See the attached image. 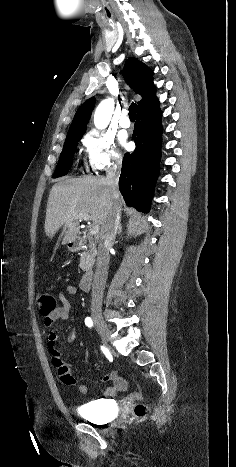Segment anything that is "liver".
Here are the masks:
<instances>
[{
  "mask_svg": "<svg viewBox=\"0 0 236 467\" xmlns=\"http://www.w3.org/2000/svg\"><path fill=\"white\" fill-rule=\"evenodd\" d=\"M123 199L119 195L114 199L104 177L70 178L55 184L49 194L45 233L53 238L56 232L65 226L67 231L62 244L76 239L80 218L90 216V220L103 226L115 206H121Z\"/></svg>",
  "mask_w": 236,
  "mask_h": 467,
  "instance_id": "6515ba94",
  "label": "liver"
}]
</instances>
